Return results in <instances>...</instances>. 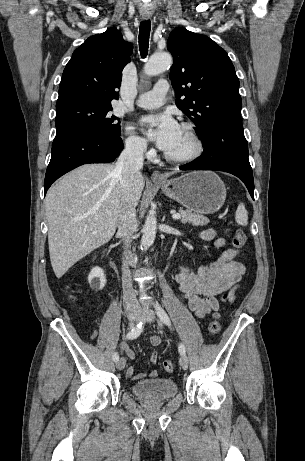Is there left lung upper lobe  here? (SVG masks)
Here are the masks:
<instances>
[{"instance_id":"left-lung-upper-lobe-1","label":"left lung upper lobe","mask_w":305,"mask_h":461,"mask_svg":"<svg viewBox=\"0 0 305 461\" xmlns=\"http://www.w3.org/2000/svg\"><path fill=\"white\" fill-rule=\"evenodd\" d=\"M167 49L173 55L175 103L197 126L201 139L215 122L241 117L239 79L225 50L185 28L171 32Z\"/></svg>"}]
</instances>
